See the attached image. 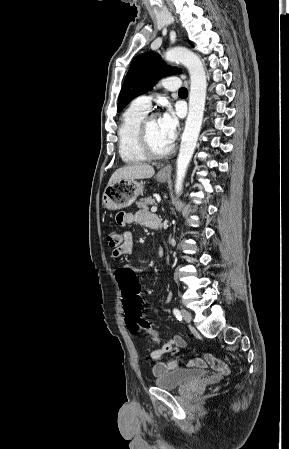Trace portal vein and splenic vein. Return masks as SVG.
Wrapping results in <instances>:
<instances>
[{"label":"portal vein and splenic vein","mask_w":289,"mask_h":449,"mask_svg":"<svg viewBox=\"0 0 289 449\" xmlns=\"http://www.w3.org/2000/svg\"><path fill=\"white\" fill-rule=\"evenodd\" d=\"M151 211H152V212H156V211H157V207H156V206H153V207L151 208Z\"/></svg>","instance_id":"portal-vein-and-splenic-vein-1"}]
</instances>
